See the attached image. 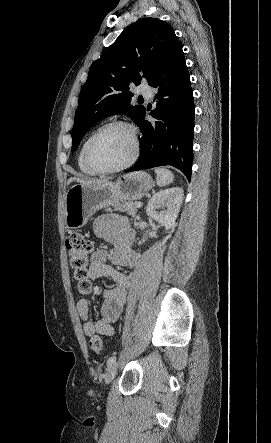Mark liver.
<instances>
[{"label": "liver", "mask_w": 271, "mask_h": 443, "mask_svg": "<svg viewBox=\"0 0 271 443\" xmlns=\"http://www.w3.org/2000/svg\"><path fill=\"white\" fill-rule=\"evenodd\" d=\"M71 182H79L81 186H90V184H101V182H96V180H79V178H69L67 186H69Z\"/></svg>", "instance_id": "1"}]
</instances>
